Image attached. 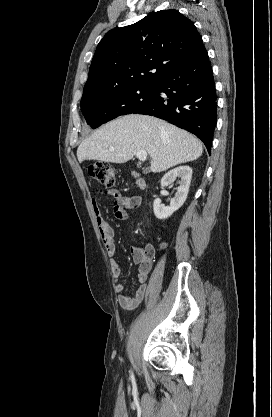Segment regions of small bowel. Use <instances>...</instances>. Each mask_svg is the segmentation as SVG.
Listing matches in <instances>:
<instances>
[{"instance_id":"1","label":"small bowel","mask_w":272,"mask_h":417,"mask_svg":"<svg viewBox=\"0 0 272 417\" xmlns=\"http://www.w3.org/2000/svg\"><path fill=\"white\" fill-rule=\"evenodd\" d=\"M100 194H106L114 200V216L123 220L127 217V211L138 208L141 205V197L139 196H123L117 189H109L108 191H99ZM91 205L97 220L100 235L105 246L106 252L110 257V266L112 277L114 280L113 288L118 294L117 302L123 309L136 308L144 299L147 290V280L152 269L154 248L151 245L145 247L133 246L131 248L132 259L138 264L137 279L138 287L133 295H125V286L120 282L121 268L119 263L114 259L116 253V245L114 242L115 230L108 224L103 216L96 197L91 199Z\"/></svg>"}]
</instances>
